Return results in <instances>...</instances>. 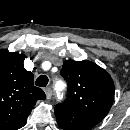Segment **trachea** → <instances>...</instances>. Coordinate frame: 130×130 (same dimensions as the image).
I'll return each mask as SVG.
<instances>
[{
    "mask_svg": "<svg viewBox=\"0 0 130 130\" xmlns=\"http://www.w3.org/2000/svg\"><path fill=\"white\" fill-rule=\"evenodd\" d=\"M36 86L45 87L48 84V77L46 75H40L36 81Z\"/></svg>",
    "mask_w": 130,
    "mask_h": 130,
    "instance_id": "trachea-1",
    "label": "trachea"
}]
</instances>
